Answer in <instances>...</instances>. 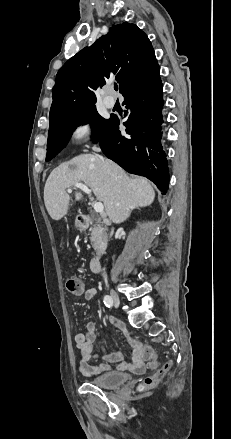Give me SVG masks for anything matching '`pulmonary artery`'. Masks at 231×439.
Segmentation results:
<instances>
[{"instance_id": "1", "label": "pulmonary artery", "mask_w": 231, "mask_h": 439, "mask_svg": "<svg viewBox=\"0 0 231 439\" xmlns=\"http://www.w3.org/2000/svg\"><path fill=\"white\" fill-rule=\"evenodd\" d=\"M103 102L107 108H113L115 105V100L107 96L104 98Z\"/></svg>"}]
</instances>
